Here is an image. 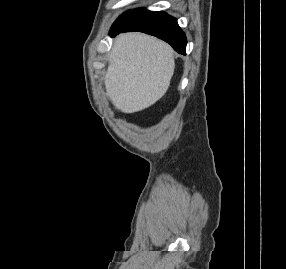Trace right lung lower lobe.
<instances>
[{"label":"right lung lower lobe","mask_w":286,"mask_h":269,"mask_svg":"<svg viewBox=\"0 0 286 269\" xmlns=\"http://www.w3.org/2000/svg\"><path fill=\"white\" fill-rule=\"evenodd\" d=\"M141 31L168 42L178 53L185 54L186 36L177 20L164 13L148 11L125 27L110 30L113 37L121 32Z\"/></svg>","instance_id":"98d812e1"}]
</instances>
